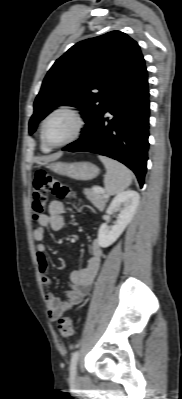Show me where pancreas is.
Returning <instances> with one entry per match:
<instances>
[{
    "label": "pancreas",
    "mask_w": 182,
    "mask_h": 399,
    "mask_svg": "<svg viewBox=\"0 0 182 399\" xmlns=\"http://www.w3.org/2000/svg\"><path fill=\"white\" fill-rule=\"evenodd\" d=\"M97 188V187H95ZM94 189H87L85 191L86 195L89 197V199L97 206L100 207L104 204V202L106 201V196L104 195V193L100 192V191H96Z\"/></svg>",
    "instance_id": "cf45deb5"
}]
</instances>
